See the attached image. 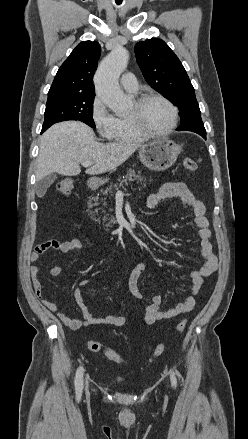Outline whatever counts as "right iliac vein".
I'll return each mask as SVG.
<instances>
[{"label": "right iliac vein", "instance_id": "obj_1", "mask_svg": "<svg viewBox=\"0 0 248 439\" xmlns=\"http://www.w3.org/2000/svg\"><path fill=\"white\" fill-rule=\"evenodd\" d=\"M87 385H88V382L86 381V389H87Z\"/></svg>", "mask_w": 248, "mask_h": 439}]
</instances>
